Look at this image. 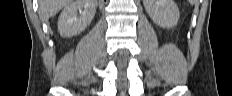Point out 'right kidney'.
<instances>
[{
  "mask_svg": "<svg viewBox=\"0 0 232 96\" xmlns=\"http://www.w3.org/2000/svg\"><path fill=\"white\" fill-rule=\"evenodd\" d=\"M96 8L97 0H71L58 20L60 35L72 37L80 34L93 20Z\"/></svg>",
  "mask_w": 232,
  "mask_h": 96,
  "instance_id": "obj_1",
  "label": "right kidney"
}]
</instances>
